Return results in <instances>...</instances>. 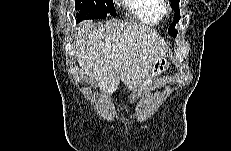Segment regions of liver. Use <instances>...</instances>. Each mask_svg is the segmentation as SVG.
I'll return each instance as SVG.
<instances>
[{"label":"liver","mask_w":231,"mask_h":151,"mask_svg":"<svg viewBox=\"0 0 231 151\" xmlns=\"http://www.w3.org/2000/svg\"><path fill=\"white\" fill-rule=\"evenodd\" d=\"M75 43L81 74L96 81L108 96L120 80L129 90L138 88L156 58L166 53L165 42L154 29L121 21L82 22Z\"/></svg>","instance_id":"liver-1"}]
</instances>
